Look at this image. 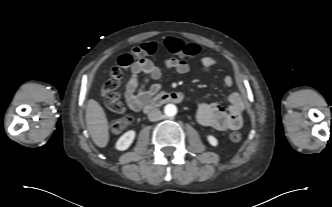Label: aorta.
<instances>
[{
  "mask_svg": "<svg viewBox=\"0 0 332 207\" xmlns=\"http://www.w3.org/2000/svg\"><path fill=\"white\" fill-rule=\"evenodd\" d=\"M164 113L168 117H173L177 114V107L174 104H167L164 107Z\"/></svg>",
  "mask_w": 332,
  "mask_h": 207,
  "instance_id": "1",
  "label": "aorta"
}]
</instances>
